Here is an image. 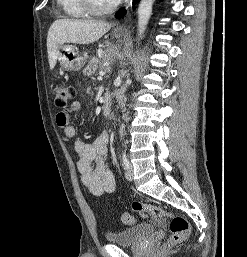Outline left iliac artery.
Wrapping results in <instances>:
<instances>
[{"instance_id":"left-iliac-artery-1","label":"left iliac artery","mask_w":247,"mask_h":257,"mask_svg":"<svg viewBox=\"0 0 247 257\" xmlns=\"http://www.w3.org/2000/svg\"><path fill=\"white\" fill-rule=\"evenodd\" d=\"M122 165L125 170L129 168V160L125 152L122 153Z\"/></svg>"}]
</instances>
